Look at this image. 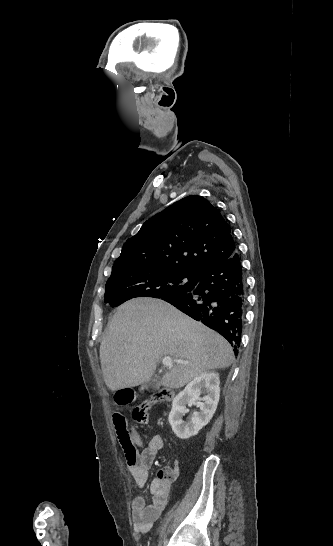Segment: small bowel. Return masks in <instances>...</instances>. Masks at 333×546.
Segmentation results:
<instances>
[{
    "mask_svg": "<svg viewBox=\"0 0 333 546\" xmlns=\"http://www.w3.org/2000/svg\"><path fill=\"white\" fill-rule=\"evenodd\" d=\"M130 437L135 446L143 447V441L135 429L131 430ZM163 445V439L156 435L141 452L137 453L133 460L127 459L128 469L139 490L144 487L148 478V469ZM178 472L177 461L174 462L172 467L159 472L158 478L154 479L150 484L152 494L150 503H146V499L141 493L135 497L132 503L131 515L137 533H146L160 517L171 496L170 482L178 475Z\"/></svg>",
    "mask_w": 333,
    "mask_h": 546,
    "instance_id": "obj_1",
    "label": "small bowel"
}]
</instances>
